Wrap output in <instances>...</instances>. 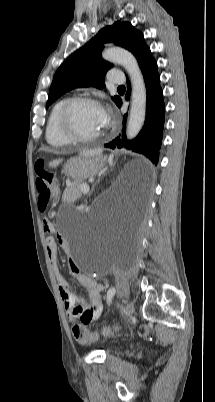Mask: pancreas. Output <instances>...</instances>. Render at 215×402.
Returning a JSON list of instances; mask_svg holds the SVG:
<instances>
[{
  "label": "pancreas",
  "mask_w": 215,
  "mask_h": 402,
  "mask_svg": "<svg viewBox=\"0 0 215 402\" xmlns=\"http://www.w3.org/2000/svg\"><path fill=\"white\" fill-rule=\"evenodd\" d=\"M88 186L86 183L84 182H79V181H75L73 182L68 188H67V192L71 193L73 192V194H75L76 196H81V186Z\"/></svg>",
  "instance_id": "1"
}]
</instances>
